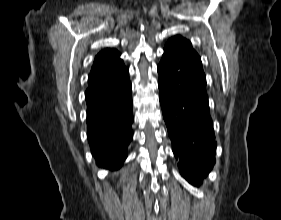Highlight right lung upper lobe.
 Segmentation results:
<instances>
[{
	"mask_svg": "<svg viewBox=\"0 0 281 220\" xmlns=\"http://www.w3.org/2000/svg\"><path fill=\"white\" fill-rule=\"evenodd\" d=\"M128 79V69L116 49H104L95 57L86 92L116 87Z\"/></svg>",
	"mask_w": 281,
	"mask_h": 220,
	"instance_id": "1",
	"label": "right lung upper lobe"
}]
</instances>
